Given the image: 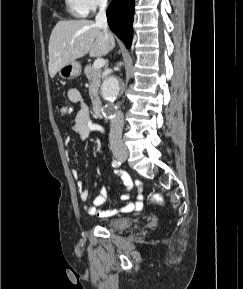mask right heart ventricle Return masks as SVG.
<instances>
[{
  "label": "right heart ventricle",
  "instance_id": "1",
  "mask_svg": "<svg viewBox=\"0 0 243 289\" xmlns=\"http://www.w3.org/2000/svg\"><path fill=\"white\" fill-rule=\"evenodd\" d=\"M71 10H72V12H73V13H75V14H79V13H78V12H76L75 10H73V9H71Z\"/></svg>",
  "mask_w": 243,
  "mask_h": 289
}]
</instances>
